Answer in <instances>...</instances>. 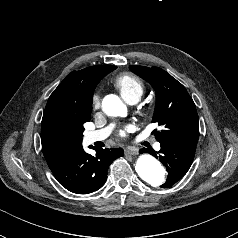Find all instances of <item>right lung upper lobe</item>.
<instances>
[{
	"label": "right lung upper lobe",
	"instance_id": "right-lung-upper-lobe-1",
	"mask_svg": "<svg viewBox=\"0 0 238 238\" xmlns=\"http://www.w3.org/2000/svg\"><path fill=\"white\" fill-rule=\"evenodd\" d=\"M112 68L96 65L73 71L50 95L41 123V143L51 170L83 148L79 126L90 120L93 91Z\"/></svg>",
	"mask_w": 238,
	"mask_h": 238
}]
</instances>
